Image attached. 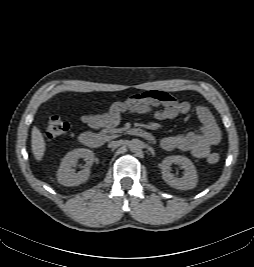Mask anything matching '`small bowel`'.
Segmentation results:
<instances>
[{
    "label": "small bowel",
    "instance_id": "1",
    "mask_svg": "<svg viewBox=\"0 0 254 267\" xmlns=\"http://www.w3.org/2000/svg\"><path fill=\"white\" fill-rule=\"evenodd\" d=\"M190 111L191 105L188 102L178 100L164 91L153 90L114 102L106 113H87L82 116V121L92 129L111 128L119 124L121 115L126 112L152 113L157 120H170ZM194 111L202 124L201 127L195 132L163 138L161 146L164 150H180L189 152L196 158H204L212 146L219 143L221 132L211 111L203 105L196 106Z\"/></svg>",
    "mask_w": 254,
    "mask_h": 267
}]
</instances>
